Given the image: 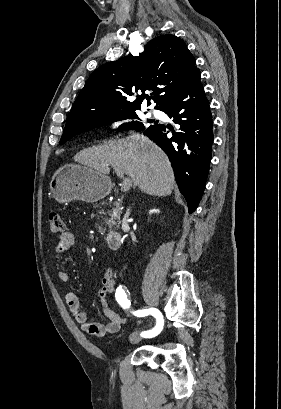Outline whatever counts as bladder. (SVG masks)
<instances>
[{"label": "bladder", "mask_w": 281, "mask_h": 409, "mask_svg": "<svg viewBox=\"0 0 281 409\" xmlns=\"http://www.w3.org/2000/svg\"><path fill=\"white\" fill-rule=\"evenodd\" d=\"M104 345L108 348H118L121 346V341L117 338H108L105 340Z\"/></svg>", "instance_id": "obj_1"}]
</instances>
